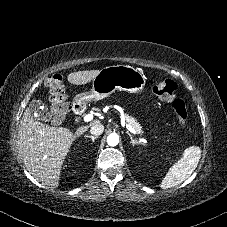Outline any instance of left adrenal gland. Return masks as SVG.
I'll return each mask as SVG.
<instances>
[{
	"instance_id": "obj_1",
	"label": "left adrenal gland",
	"mask_w": 227,
	"mask_h": 227,
	"mask_svg": "<svg viewBox=\"0 0 227 227\" xmlns=\"http://www.w3.org/2000/svg\"><path fill=\"white\" fill-rule=\"evenodd\" d=\"M126 133H127L128 136L130 137V139H131L130 142H131L133 145L138 144V143L133 139L132 135H131L128 131H126Z\"/></svg>"
}]
</instances>
